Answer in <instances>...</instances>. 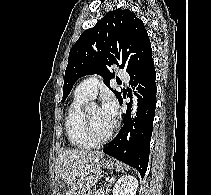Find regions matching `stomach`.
<instances>
[{"mask_svg":"<svg viewBox=\"0 0 211 195\" xmlns=\"http://www.w3.org/2000/svg\"><path fill=\"white\" fill-rule=\"evenodd\" d=\"M105 168L107 170H113L114 168L116 169H121L123 168V164L119 163V162H113L111 160H106L103 159L102 161L99 162L98 166L95 168V170L89 175V183L92 184L93 186L96 184V182L98 181L100 175H101V168ZM57 185L63 187L64 184L62 182H58ZM64 194L62 195H68L67 191L64 190ZM86 192V191H85ZM80 193L78 195H84V193Z\"/></svg>","mask_w":211,"mask_h":195,"instance_id":"0dacf381","label":"stomach"}]
</instances>
